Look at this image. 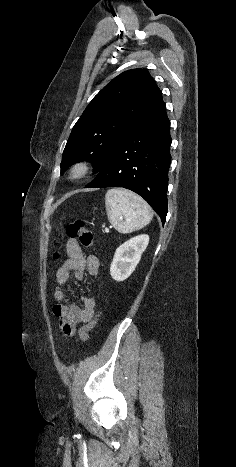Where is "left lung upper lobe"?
<instances>
[{
	"mask_svg": "<svg viewBox=\"0 0 236 467\" xmlns=\"http://www.w3.org/2000/svg\"><path fill=\"white\" fill-rule=\"evenodd\" d=\"M162 101V92L144 69L125 71L90 102L74 125L63 152L61 173L80 161L98 172L120 138Z\"/></svg>",
	"mask_w": 236,
	"mask_h": 467,
	"instance_id": "1",
	"label": "left lung upper lobe"
}]
</instances>
